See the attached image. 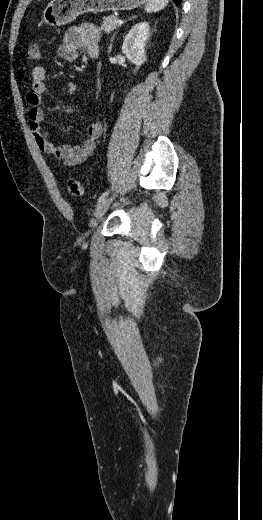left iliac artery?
<instances>
[{"instance_id": "obj_1", "label": "left iliac artery", "mask_w": 263, "mask_h": 520, "mask_svg": "<svg viewBox=\"0 0 263 520\" xmlns=\"http://www.w3.org/2000/svg\"><path fill=\"white\" fill-rule=\"evenodd\" d=\"M108 193H109V190L102 193V195L98 199V204H100L106 198V196H108Z\"/></svg>"}]
</instances>
